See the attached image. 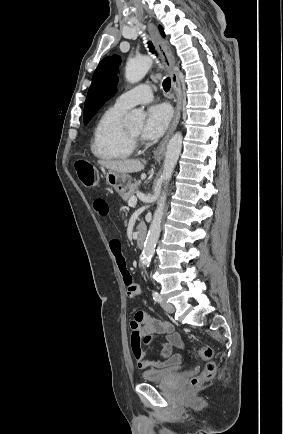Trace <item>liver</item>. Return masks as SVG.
I'll list each match as a JSON object with an SVG mask.
<instances>
[{
    "instance_id": "6515ba94",
    "label": "liver",
    "mask_w": 283,
    "mask_h": 434,
    "mask_svg": "<svg viewBox=\"0 0 283 434\" xmlns=\"http://www.w3.org/2000/svg\"><path fill=\"white\" fill-rule=\"evenodd\" d=\"M107 169L119 173H136L144 169V164L137 159L98 161Z\"/></svg>"
}]
</instances>
